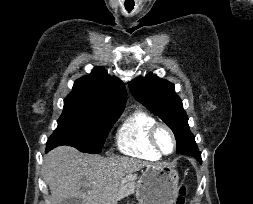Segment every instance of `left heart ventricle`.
I'll return each instance as SVG.
<instances>
[{"label": "left heart ventricle", "instance_id": "1", "mask_svg": "<svg viewBox=\"0 0 253 204\" xmlns=\"http://www.w3.org/2000/svg\"><path fill=\"white\" fill-rule=\"evenodd\" d=\"M157 141L159 146L165 153H169L172 151L173 148L172 138L165 129H160L158 131Z\"/></svg>", "mask_w": 253, "mask_h": 204}]
</instances>
